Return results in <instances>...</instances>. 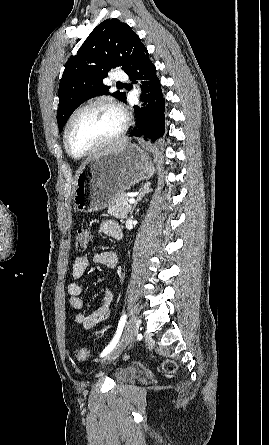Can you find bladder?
I'll use <instances>...</instances> for the list:
<instances>
[{
    "label": "bladder",
    "instance_id": "bladder-1",
    "mask_svg": "<svg viewBox=\"0 0 269 445\" xmlns=\"http://www.w3.org/2000/svg\"><path fill=\"white\" fill-rule=\"evenodd\" d=\"M137 373L138 369L136 367H124L115 373V379L119 382H124L133 378Z\"/></svg>",
    "mask_w": 269,
    "mask_h": 445
}]
</instances>
